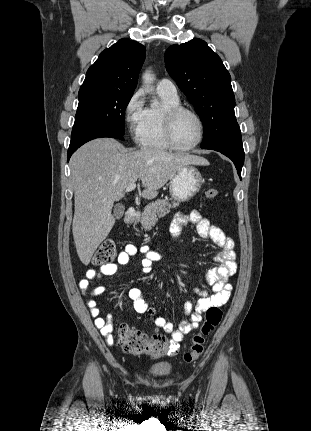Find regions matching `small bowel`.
<instances>
[{"label":"small bowel","mask_w":311,"mask_h":431,"mask_svg":"<svg viewBox=\"0 0 311 431\" xmlns=\"http://www.w3.org/2000/svg\"><path fill=\"white\" fill-rule=\"evenodd\" d=\"M190 223L196 225L197 232L202 238L211 240L216 247L220 248V251L214 257L216 265L209 269L205 275L206 281L212 285L211 293L196 289L201 298L193 312H191L192 305L190 303L185 304V310L189 314V319L182 321L178 327H175L163 317L157 316L156 309L148 305L143 292L139 288H132L128 292V298L132 301L134 311L139 314H147L153 320L156 327L171 334L172 340L176 344L182 341L185 334L199 325L203 312L207 311L210 307H220L227 303L232 290L228 279L235 273L237 268L234 241L227 237L219 227L212 225L197 210H193L189 214L178 213L174 215L170 224L172 236L177 239L181 234L183 226ZM138 251L142 254L141 268L144 273H150L153 264L163 260V256L159 252L153 251L147 246H143L138 250L135 245L127 244L119 253L116 263L103 265L98 270L89 269L86 272V278L79 282V287L82 294L86 297V305L90 315L94 319V324L108 344H113L114 342L111 319L110 317H101L100 309L95 300V297L104 293L105 287L97 286L90 288L89 281L100 279L104 276L115 275L118 273L120 266L128 264L131 257L137 254Z\"/></svg>","instance_id":"c3829d8e"}]
</instances>
